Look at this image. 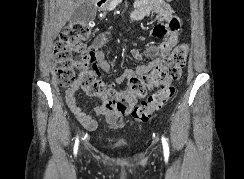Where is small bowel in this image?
Listing matches in <instances>:
<instances>
[{
    "label": "small bowel",
    "instance_id": "small-bowel-1",
    "mask_svg": "<svg viewBox=\"0 0 244 179\" xmlns=\"http://www.w3.org/2000/svg\"><path fill=\"white\" fill-rule=\"evenodd\" d=\"M149 15H156L159 20L150 30V35L163 39L159 44L147 46L143 51L133 49L131 55L134 59L143 61L134 69H125L123 73L111 81V85H119L133 75H144L157 67L161 61L169 54L170 50L178 43L180 33L179 19L174 14L171 6L163 0H137L134 2V10L130 16V23L134 24ZM111 38L110 33H99L90 44L88 51L91 54L98 69L104 73L111 71V65L106 60L102 47ZM79 89H66L65 101L76 116L77 120L88 130H95L97 122L87 114L79 103L77 92ZM94 113L103 117L106 125L112 129H119L123 126V117L108 112L103 106H96ZM111 141V138H108Z\"/></svg>",
    "mask_w": 244,
    "mask_h": 179
}]
</instances>
